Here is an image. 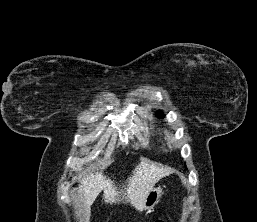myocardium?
<instances>
[{
	"label": "myocardium",
	"mask_w": 257,
	"mask_h": 222,
	"mask_svg": "<svg viewBox=\"0 0 257 222\" xmlns=\"http://www.w3.org/2000/svg\"><path fill=\"white\" fill-rule=\"evenodd\" d=\"M170 140H171L172 143L176 142L172 137H170Z\"/></svg>",
	"instance_id": "1"
}]
</instances>
